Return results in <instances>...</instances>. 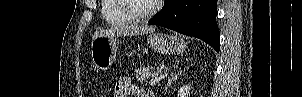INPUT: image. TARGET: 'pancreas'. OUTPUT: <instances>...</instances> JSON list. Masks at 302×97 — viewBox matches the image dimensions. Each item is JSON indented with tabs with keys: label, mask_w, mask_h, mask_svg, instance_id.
I'll return each instance as SVG.
<instances>
[{
	"label": "pancreas",
	"mask_w": 302,
	"mask_h": 97,
	"mask_svg": "<svg viewBox=\"0 0 302 97\" xmlns=\"http://www.w3.org/2000/svg\"><path fill=\"white\" fill-rule=\"evenodd\" d=\"M152 70H154L152 66H140L135 70V77L138 81H144L153 75L151 73Z\"/></svg>",
	"instance_id": "1"
}]
</instances>
